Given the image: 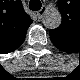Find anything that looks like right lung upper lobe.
<instances>
[{
    "label": "right lung upper lobe",
    "mask_w": 80,
    "mask_h": 80,
    "mask_svg": "<svg viewBox=\"0 0 80 80\" xmlns=\"http://www.w3.org/2000/svg\"><path fill=\"white\" fill-rule=\"evenodd\" d=\"M4 17L0 30V43L15 45L26 33L32 20L24 12L22 5H18L15 11L7 12Z\"/></svg>",
    "instance_id": "cb5924a9"
}]
</instances>
